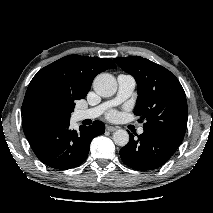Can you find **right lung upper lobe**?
Returning <instances> with one entry per match:
<instances>
[{
  "instance_id": "right-lung-upper-lobe-1",
  "label": "right lung upper lobe",
  "mask_w": 213,
  "mask_h": 213,
  "mask_svg": "<svg viewBox=\"0 0 213 213\" xmlns=\"http://www.w3.org/2000/svg\"><path fill=\"white\" fill-rule=\"evenodd\" d=\"M116 68L109 58L65 56L42 68L31 80L25 98L39 88H51L77 99H84L99 73ZM22 116H26L22 114Z\"/></svg>"
}]
</instances>
